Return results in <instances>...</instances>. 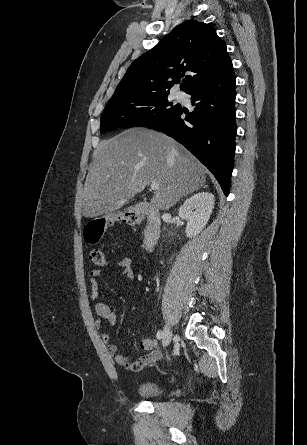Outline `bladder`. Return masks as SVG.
Wrapping results in <instances>:
<instances>
[{"label":"bladder","instance_id":"bladder-1","mask_svg":"<svg viewBox=\"0 0 307 445\" xmlns=\"http://www.w3.org/2000/svg\"><path fill=\"white\" fill-rule=\"evenodd\" d=\"M166 391L164 385L156 381H145L137 386V393L144 398H157Z\"/></svg>","mask_w":307,"mask_h":445}]
</instances>
